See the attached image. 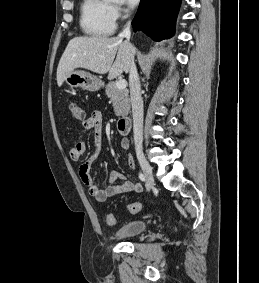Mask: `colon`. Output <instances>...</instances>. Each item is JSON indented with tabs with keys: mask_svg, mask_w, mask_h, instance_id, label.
<instances>
[{
	"mask_svg": "<svg viewBox=\"0 0 259 283\" xmlns=\"http://www.w3.org/2000/svg\"><path fill=\"white\" fill-rule=\"evenodd\" d=\"M69 109H70V112H71V116L74 120H76V121H83L84 120L83 109L81 108V106L78 103H76V102L70 103ZM140 210H141V204L140 203L132 202V203H129L127 205V211L130 214H136V213L140 212ZM106 223L109 226H113V225L116 224V218H115L114 214L109 213V214L106 215Z\"/></svg>",
	"mask_w": 259,
	"mask_h": 283,
	"instance_id": "colon-1",
	"label": "colon"
}]
</instances>
